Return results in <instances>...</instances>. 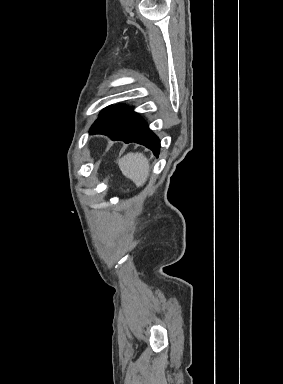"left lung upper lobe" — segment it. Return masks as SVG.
Listing matches in <instances>:
<instances>
[{
	"label": "left lung upper lobe",
	"instance_id": "5c2ea615",
	"mask_svg": "<svg viewBox=\"0 0 283 384\" xmlns=\"http://www.w3.org/2000/svg\"><path fill=\"white\" fill-rule=\"evenodd\" d=\"M108 109H110V108H105V109L101 112V114H103L104 112H106Z\"/></svg>",
	"mask_w": 283,
	"mask_h": 384
}]
</instances>
